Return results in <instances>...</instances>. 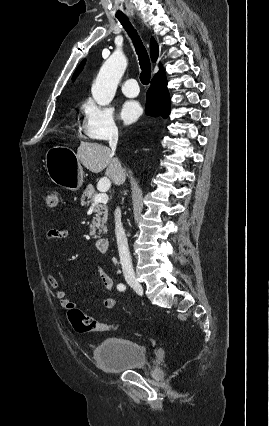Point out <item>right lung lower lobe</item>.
<instances>
[{
    "mask_svg": "<svg viewBox=\"0 0 269 426\" xmlns=\"http://www.w3.org/2000/svg\"><path fill=\"white\" fill-rule=\"evenodd\" d=\"M170 112V97L165 72L154 76L147 91L145 113L166 118Z\"/></svg>",
    "mask_w": 269,
    "mask_h": 426,
    "instance_id": "obj_1",
    "label": "right lung lower lobe"
}]
</instances>
